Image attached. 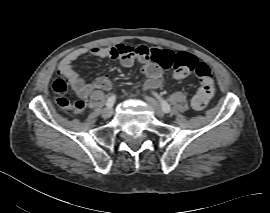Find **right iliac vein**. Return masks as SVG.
<instances>
[{"label": "right iliac vein", "instance_id": "obj_1", "mask_svg": "<svg viewBox=\"0 0 270 213\" xmlns=\"http://www.w3.org/2000/svg\"><path fill=\"white\" fill-rule=\"evenodd\" d=\"M112 114H113V109L110 107H107L102 111L103 118H110Z\"/></svg>", "mask_w": 270, "mask_h": 213}]
</instances>
